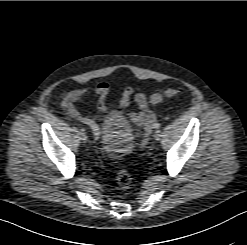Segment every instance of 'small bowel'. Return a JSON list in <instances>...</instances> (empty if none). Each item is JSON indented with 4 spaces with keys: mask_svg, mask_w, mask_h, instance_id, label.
I'll list each match as a JSON object with an SVG mask.
<instances>
[{
    "mask_svg": "<svg viewBox=\"0 0 247 245\" xmlns=\"http://www.w3.org/2000/svg\"><path fill=\"white\" fill-rule=\"evenodd\" d=\"M109 91H110V86L106 82H100L96 84L92 89V95L97 98L98 110L102 113L108 111V107L105 103V99L109 94ZM88 92H89L88 87H82L72 90L66 89L62 91L61 106H62V110L69 119L82 123L81 118H85V117L81 116L75 104L81 101ZM133 93L134 90L132 86H126L124 88L122 97L119 102L120 109H124L129 105ZM134 99L138 105L139 111L136 113H126L125 119L129 123L143 126L146 135H149L150 132L152 131L153 124L156 120V115L153 111L150 110L148 99L144 93H137ZM89 119H91L95 124L100 121L99 117H91ZM146 141H147V137L140 142L141 145H144Z\"/></svg>",
    "mask_w": 247,
    "mask_h": 245,
    "instance_id": "obj_1",
    "label": "small bowel"
}]
</instances>
